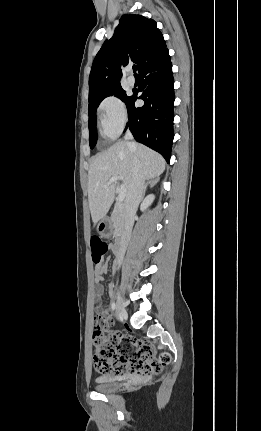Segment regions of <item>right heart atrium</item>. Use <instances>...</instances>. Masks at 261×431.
Here are the masks:
<instances>
[{"label": "right heart atrium", "instance_id": "obj_1", "mask_svg": "<svg viewBox=\"0 0 261 431\" xmlns=\"http://www.w3.org/2000/svg\"><path fill=\"white\" fill-rule=\"evenodd\" d=\"M98 120L106 137H117L127 122V112L122 100L115 95L104 98L98 106Z\"/></svg>", "mask_w": 261, "mask_h": 431}]
</instances>
